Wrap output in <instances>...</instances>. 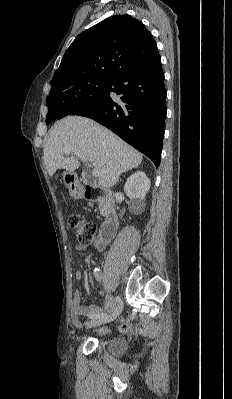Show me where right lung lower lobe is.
<instances>
[{
	"mask_svg": "<svg viewBox=\"0 0 232 399\" xmlns=\"http://www.w3.org/2000/svg\"><path fill=\"white\" fill-rule=\"evenodd\" d=\"M111 92L119 95L116 98ZM166 89L158 50L110 78L105 96L94 104L62 113L91 118L107 127L159 166L166 118Z\"/></svg>",
	"mask_w": 232,
	"mask_h": 399,
	"instance_id": "right-lung-lower-lobe-1",
	"label": "right lung lower lobe"
}]
</instances>
